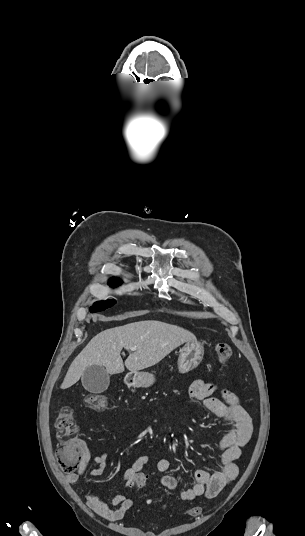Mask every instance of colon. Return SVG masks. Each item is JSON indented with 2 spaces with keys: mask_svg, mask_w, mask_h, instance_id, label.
<instances>
[{
  "mask_svg": "<svg viewBox=\"0 0 305 536\" xmlns=\"http://www.w3.org/2000/svg\"><path fill=\"white\" fill-rule=\"evenodd\" d=\"M213 352L218 362L221 364L226 363L231 356L230 346L225 341L215 342ZM84 402L88 408L94 411H103L108 405L107 398L104 395L97 393L86 395ZM55 428L58 440L66 438L64 443H58L56 445L57 460L58 462H61V470L64 472L78 471V459L82 447L78 435H74L78 431V424L72 408L63 407L60 410L57 415ZM144 480L145 477L143 474H136L134 480L130 484L131 489L134 491L139 489L145 491L146 484ZM143 495H146V492H143ZM187 509H190V506H187ZM200 514L201 511L195 508L190 509L188 512L189 517L192 519L197 518Z\"/></svg>",
  "mask_w": 305,
  "mask_h": 536,
  "instance_id": "1",
  "label": "colon"
}]
</instances>
